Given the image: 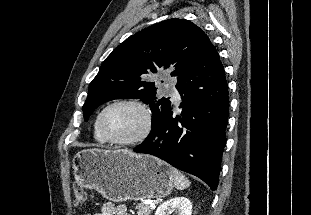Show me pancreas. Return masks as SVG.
Returning <instances> with one entry per match:
<instances>
[{"mask_svg": "<svg viewBox=\"0 0 311 215\" xmlns=\"http://www.w3.org/2000/svg\"><path fill=\"white\" fill-rule=\"evenodd\" d=\"M135 208L137 209V214L138 215H150L151 213V208L148 204L141 202V203H137L135 204Z\"/></svg>", "mask_w": 311, "mask_h": 215, "instance_id": "pancreas-1", "label": "pancreas"}]
</instances>
